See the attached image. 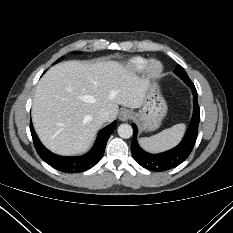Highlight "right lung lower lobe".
Here are the masks:
<instances>
[{"mask_svg": "<svg viewBox=\"0 0 233 233\" xmlns=\"http://www.w3.org/2000/svg\"><path fill=\"white\" fill-rule=\"evenodd\" d=\"M116 126L117 122L114 121L110 125L103 128L99 132L92 149L87 154L79 157H64L55 155L42 145L33 129L32 123H30V131L37 153L47 164L65 173H78L88 170L100 161L104 154L108 138Z\"/></svg>", "mask_w": 233, "mask_h": 233, "instance_id": "right-lung-lower-lobe-1", "label": "right lung lower lobe"}]
</instances>
